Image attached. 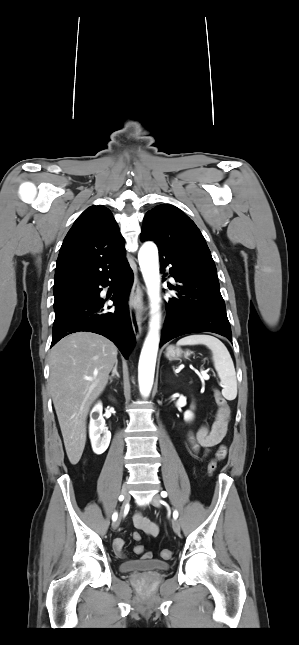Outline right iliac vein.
I'll return each mask as SVG.
<instances>
[{
    "instance_id": "obj_1",
    "label": "right iliac vein",
    "mask_w": 299,
    "mask_h": 645,
    "mask_svg": "<svg viewBox=\"0 0 299 645\" xmlns=\"http://www.w3.org/2000/svg\"><path fill=\"white\" fill-rule=\"evenodd\" d=\"M121 494H122V495H123V497H124V505H126V504L130 501V494H129V489H128L127 484H124V485L122 486ZM119 524H120V519H116V520L112 523V528H113L114 530H116V529L119 527Z\"/></svg>"
}]
</instances>
